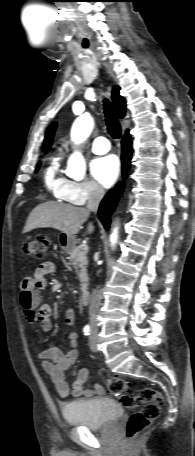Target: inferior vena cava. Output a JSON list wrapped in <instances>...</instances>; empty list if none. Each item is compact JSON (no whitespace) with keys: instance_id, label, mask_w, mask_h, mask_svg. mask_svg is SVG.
Instances as JSON below:
<instances>
[{"instance_id":"1","label":"inferior vena cava","mask_w":195,"mask_h":456,"mask_svg":"<svg viewBox=\"0 0 195 456\" xmlns=\"http://www.w3.org/2000/svg\"><path fill=\"white\" fill-rule=\"evenodd\" d=\"M104 190L99 185H92L87 202V210L96 212L102 198L104 197ZM101 305V296L97 290H93L90 306H89V320L93 329L97 328V315Z\"/></svg>"}]
</instances>
